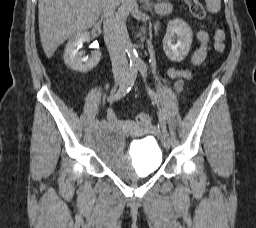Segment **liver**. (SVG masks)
<instances>
[{"label":"liver","instance_id":"obj_1","mask_svg":"<svg viewBox=\"0 0 256 228\" xmlns=\"http://www.w3.org/2000/svg\"><path fill=\"white\" fill-rule=\"evenodd\" d=\"M103 0H39V32L50 59L71 36L91 28L98 20Z\"/></svg>","mask_w":256,"mask_h":228}]
</instances>
